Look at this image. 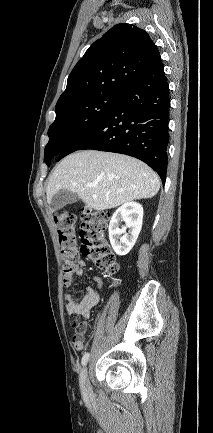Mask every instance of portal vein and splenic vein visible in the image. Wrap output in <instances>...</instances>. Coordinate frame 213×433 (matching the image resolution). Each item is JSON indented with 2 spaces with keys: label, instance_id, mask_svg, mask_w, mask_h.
<instances>
[{
  "label": "portal vein and splenic vein",
  "instance_id": "18ae733b",
  "mask_svg": "<svg viewBox=\"0 0 213 433\" xmlns=\"http://www.w3.org/2000/svg\"><path fill=\"white\" fill-rule=\"evenodd\" d=\"M88 186L89 187H95V186H97V183H88Z\"/></svg>",
  "mask_w": 213,
  "mask_h": 433
}]
</instances>
